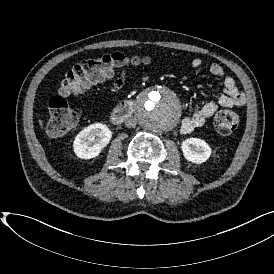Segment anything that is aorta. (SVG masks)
Masks as SVG:
<instances>
[{
  "mask_svg": "<svg viewBox=\"0 0 274 274\" xmlns=\"http://www.w3.org/2000/svg\"><path fill=\"white\" fill-rule=\"evenodd\" d=\"M181 116L176 95L167 88H156L144 94L136 104L137 121L152 131L174 127Z\"/></svg>",
  "mask_w": 274,
  "mask_h": 274,
  "instance_id": "aorta-1",
  "label": "aorta"
}]
</instances>
